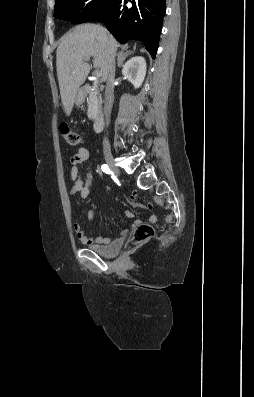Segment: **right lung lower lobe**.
I'll return each instance as SVG.
<instances>
[{"mask_svg":"<svg viewBox=\"0 0 254 397\" xmlns=\"http://www.w3.org/2000/svg\"><path fill=\"white\" fill-rule=\"evenodd\" d=\"M127 2L133 6L128 8ZM165 11V0H114L107 10L92 20L103 21L122 44L131 39L143 42L154 59Z\"/></svg>","mask_w":254,"mask_h":397,"instance_id":"obj_1","label":"right lung lower lobe"}]
</instances>
